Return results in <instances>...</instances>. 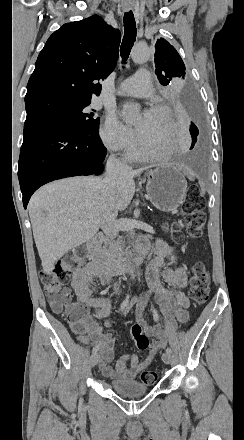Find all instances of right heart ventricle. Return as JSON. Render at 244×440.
<instances>
[{"label":"right heart ventricle","instance_id":"right-heart-ventricle-1","mask_svg":"<svg viewBox=\"0 0 244 440\" xmlns=\"http://www.w3.org/2000/svg\"><path fill=\"white\" fill-rule=\"evenodd\" d=\"M126 159L129 161H146L148 156L144 152V150L139 147L126 155Z\"/></svg>","mask_w":244,"mask_h":440}]
</instances>
